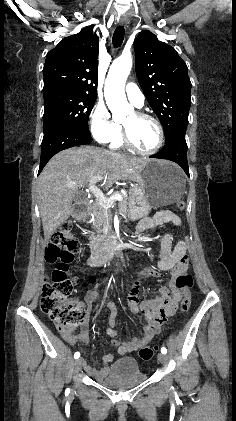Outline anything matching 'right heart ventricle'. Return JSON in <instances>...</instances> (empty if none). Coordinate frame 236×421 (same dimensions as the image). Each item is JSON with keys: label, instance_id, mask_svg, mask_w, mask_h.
<instances>
[{"label": "right heart ventricle", "instance_id": "1", "mask_svg": "<svg viewBox=\"0 0 236 421\" xmlns=\"http://www.w3.org/2000/svg\"><path fill=\"white\" fill-rule=\"evenodd\" d=\"M124 146L123 140H122V132H120L115 136V138L110 142V148L117 150Z\"/></svg>", "mask_w": 236, "mask_h": 421}]
</instances>
